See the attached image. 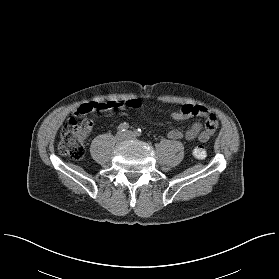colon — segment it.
I'll return each instance as SVG.
<instances>
[{
    "label": "colon",
    "mask_w": 279,
    "mask_h": 279,
    "mask_svg": "<svg viewBox=\"0 0 279 279\" xmlns=\"http://www.w3.org/2000/svg\"><path fill=\"white\" fill-rule=\"evenodd\" d=\"M126 104L133 108L140 107V102L138 100H129ZM92 127L93 121L91 119H68L63 124L60 132L58 147L60 154L68 156L73 160L81 159L85 154L83 141ZM203 139H205L204 136ZM192 153L197 158H204L206 156V150L201 145L196 146Z\"/></svg>",
    "instance_id": "1"
}]
</instances>
